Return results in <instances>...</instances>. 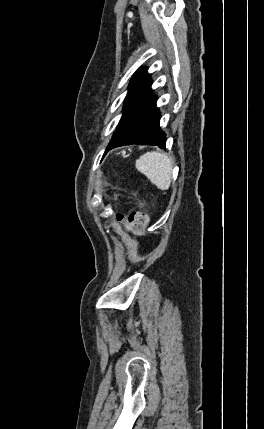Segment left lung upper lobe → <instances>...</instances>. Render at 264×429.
Here are the masks:
<instances>
[{
    "label": "left lung upper lobe",
    "mask_w": 264,
    "mask_h": 429,
    "mask_svg": "<svg viewBox=\"0 0 264 429\" xmlns=\"http://www.w3.org/2000/svg\"><path fill=\"white\" fill-rule=\"evenodd\" d=\"M150 86L151 79L147 70L145 68H140L130 82L129 91L125 98L123 116L110 143L119 137L135 109L148 95L152 93Z\"/></svg>",
    "instance_id": "1"
}]
</instances>
